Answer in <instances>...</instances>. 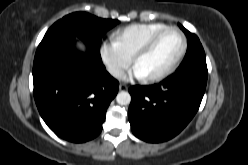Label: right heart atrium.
<instances>
[{
    "instance_id": "obj_1",
    "label": "right heart atrium",
    "mask_w": 248,
    "mask_h": 165,
    "mask_svg": "<svg viewBox=\"0 0 248 165\" xmlns=\"http://www.w3.org/2000/svg\"><path fill=\"white\" fill-rule=\"evenodd\" d=\"M100 57L109 74L120 78L132 63V57L114 39L100 46Z\"/></svg>"
}]
</instances>
